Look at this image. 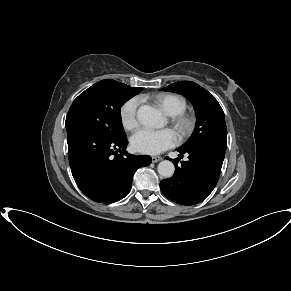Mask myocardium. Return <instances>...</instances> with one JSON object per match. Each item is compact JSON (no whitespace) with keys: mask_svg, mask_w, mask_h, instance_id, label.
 <instances>
[{"mask_svg":"<svg viewBox=\"0 0 291 291\" xmlns=\"http://www.w3.org/2000/svg\"><path fill=\"white\" fill-rule=\"evenodd\" d=\"M170 123L180 140H186L192 136L197 126L195 114L183 111L170 116Z\"/></svg>","mask_w":291,"mask_h":291,"instance_id":"myocardium-1","label":"myocardium"}]
</instances>
